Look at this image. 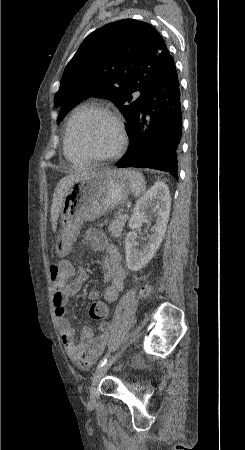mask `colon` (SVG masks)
I'll return each instance as SVG.
<instances>
[{"label": "colon", "instance_id": "1", "mask_svg": "<svg viewBox=\"0 0 245 450\" xmlns=\"http://www.w3.org/2000/svg\"><path fill=\"white\" fill-rule=\"evenodd\" d=\"M52 266L55 268L54 271L55 273L56 268H58L59 266L55 262H53ZM149 293H150V286L148 284H144L140 289L141 296L146 297L149 295ZM89 314L93 320L101 321L107 318L109 314V309L105 302L96 301L93 302L92 305L90 306Z\"/></svg>", "mask_w": 245, "mask_h": 450}]
</instances>
